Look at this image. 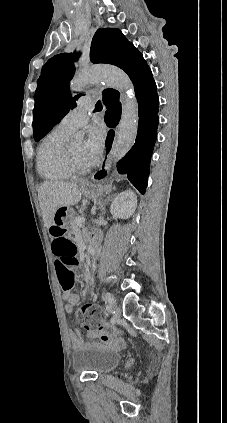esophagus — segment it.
I'll return each instance as SVG.
<instances>
[{"instance_id": "34e87169", "label": "esophagus", "mask_w": 227, "mask_h": 423, "mask_svg": "<svg viewBox=\"0 0 227 423\" xmlns=\"http://www.w3.org/2000/svg\"><path fill=\"white\" fill-rule=\"evenodd\" d=\"M114 127L112 126L111 129L108 130V135L106 137V142H105V151H104V156L100 165L99 170L94 173L91 177V180L94 182H100L103 181L107 178L110 168H111V155L113 152V147H114V141H115V130L113 129Z\"/></svg>"}]
</instances>
